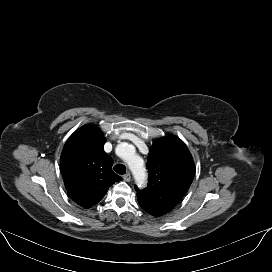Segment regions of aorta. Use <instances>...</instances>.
Instances as JSON below:
<instances>
[{"mask_svg":"<svg viewBox=\"0 0 272 272\" xmlns=\"http://www.w3.org/2000/svg\"><path fill=\"white\" fill-rule=\"evenodd\" d=\"M124 158L134 176L136 183L138 185L144 183L147 177V173L143 160L138 155H136L130 147H127Z\"/></svg>","mask_w":272,"mask_h":272,"instance_id":"1","label":"aorta"}]
</instances>
